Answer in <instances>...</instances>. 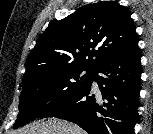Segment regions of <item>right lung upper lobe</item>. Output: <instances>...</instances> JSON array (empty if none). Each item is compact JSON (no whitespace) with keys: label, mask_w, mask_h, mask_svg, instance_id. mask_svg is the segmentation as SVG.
Returning <instances> with one entry per match:
<instances>
[{"label":"right lung upper lobe","mask_w":153,"mask_h":134,"mask_svg":"<svg viewBox=\"0 0 153 134\" xmlns=\"http://www.w3.org/2000/svg\"><path fill=\"white\" fill-rule=\"evenodd\" d=\"M137 44L130 13L117 1L88 4L50 22L28 55L24 79L60 67L93 70Z\"/></svg>","instance_id":"obj_1"}]
</instances>
